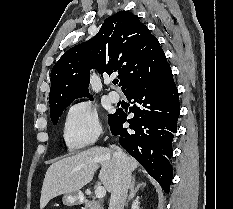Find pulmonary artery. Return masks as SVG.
Here are the masks:
<instances>
[{
	"label": "pulmonary artery",
	"instance_id": "e3ab8cb5",
	"mask_svg": "<svg viewBox=\"0 0 233 209\" xmlns=\"http://www.w3.org/2000/svg\"><path fill=\"white\" fill-rule=\"evenodd\" d=\"M108 97H109V99H110L113 103H117V102H119V100H120V95H119V93L116 92V91H110V92L108 93Z\"/></svg>",
	"mask_w": 233,
	"mask_h": 209
}]
</instances>
